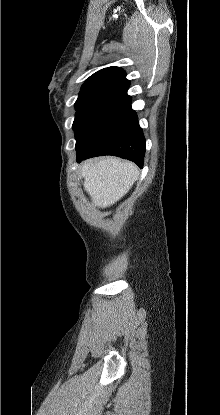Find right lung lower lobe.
I'll list each match as a JSON object with an SVG mask.
<instances>
[{"label": "right lung lower lobe", "mask_w": 220, "mask_h": 415, "mask_svg": "<svg viewBox=\"0 0 220 415\" xmlns=\"http://www.w3.org/2000/svg\"><path fill=\"white\" fill-rule=\"evenodd\" d=\"M101 155L118 156L143 167L145 138L131 101L113 115L88 149L77 150V161Z\"/></svg>", "instance_id": "98d812e1"}]
</instances>
